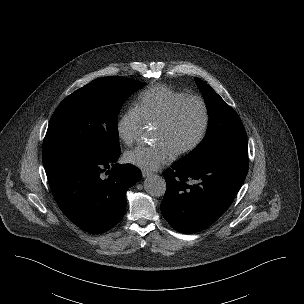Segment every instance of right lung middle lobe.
Listing matches in <instances>:
<instances>
[{
    "label": "right lung middle lobe",
    "instance_id": "dd1d6c3e",
    "mask_svg": "<svg viewBox=\"0 0 304 304\" xmlns=\"http://www.w3.org/2000/svg\"><path fill=\"white\" fill-rule=\"evenodd\" d=\"M144 85L121 76L102 77L66 97L49 122L43 160L70 153L103 157L119 154L118 111Z\"/></svg>",
    "mask_w": 304,
    "mask_h": 304
}]
</instances>
